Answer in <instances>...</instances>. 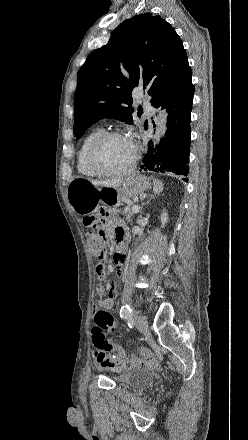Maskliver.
Instances as JSON below:
<instances>
[{"label":"liver","instance_id":"liver-1","mask_svg":"<svg viewBox=\"0 0 248 440\" xmlns=\"http://www.w3.org/2000/svg\"><path fill=\"white\" fill-rule=\"evenodd\" d=\"M95 186H106L111 187L121 183V180H106V181H91Z\"/></svg>","mask_w":248,"mask_h":440}]
</instances>
